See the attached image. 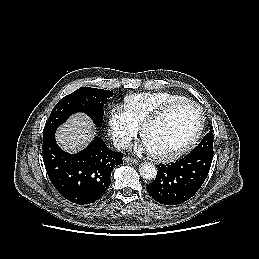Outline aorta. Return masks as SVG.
<instances>
[{"mask_svg": "<svg viewBox=\"0 0 259 259\" xmlns=\"http://www.w3.org/2000/svg\"><path fill=\"white\" fill-rule=\"evenodd\" d=\"M141 177L144 179H153L157 175V168L156 166L151 162L143 163L139 169Z\"/></svg>", "mask_w": 259, "mask_h": 259, "instance_id": "obj_1", "label": "aorta"}]
</instances>
